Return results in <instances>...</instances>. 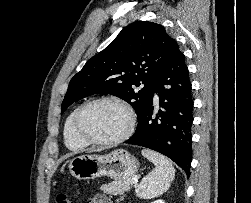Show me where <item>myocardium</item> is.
Wrapping results in <instances>:
<instances>
[{
  "label": "myocardium",
  "mask_w": 251,
  "mask_h": 203,
  "mask_svg": "<svg viewBox=\"0 0 251 203\" xmlns=\"http://www.w3.org/2000/svg\"><path fill=\"white\" fill-rule=\"evenodd\" d=\"M102 102H108V103L119 105L120 107L124 109V111L126 112L128 116V125L125 131L119 136L112 139H108V140H98V139L91 138L88 135H86L81 129V120L85 111L92 105L102 103ZM135 126H136V117L131 106L128 103H126L124 100L114 97V96H102V97H98V98L87 101L86 103H84L77 109L74 119H73V131L76 137L82 142L86 143L87 145H94V146H113V145L122 143L133 134L135 130Z\"/></svg>",
  "instance_id": "f54148a6"
}]
</instances>
